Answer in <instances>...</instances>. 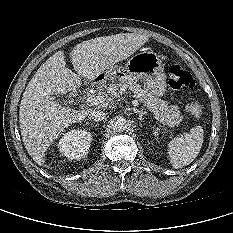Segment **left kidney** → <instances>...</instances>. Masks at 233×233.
<instances>
[{
	"label": "left kidney",
	"instance_id": "5707ae66",
	"mask_svg": "<svg viewBox=\"0 0 233 233\" xmlns=\"http://www.w3.org/2000/svg\"><path fill=\"white\" fill-rule=\"evenodd\" d=\"M159 132H160L159 129H155L154 132H153V135H154L156 138H158Z\"/></svg>",
	"mask_w": 233,
	"mask_h": 233
}]
</instances>
